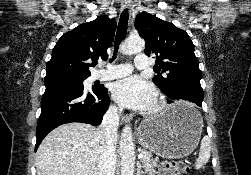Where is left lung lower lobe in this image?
I'll list each match as a JSON object with an SVG mask.
<instances>
[{"mask_svg": "<svg viewBox=\"0 0 251 175\" xmlns=\"http://www.w3.org/2000/svg\"><path fill=\"white\" fill-rule=\"evenodd\" d=\"M169 98L168 103L174 100L187 101V104L175 111L174 117L184 120H195L202 114L203 90L195 85L180 82L162 90Z\"/></svg>", "mask_w": 251, "mask_h": 175, "instance_id": "1", "label": "left lung lower lobe"}]
</instances>
